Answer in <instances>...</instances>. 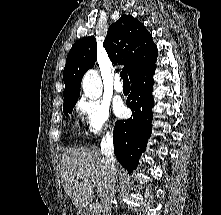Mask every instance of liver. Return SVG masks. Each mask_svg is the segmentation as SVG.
<instances>
[{
	"mask_svg": "<svg viewBox=\"0 0 221 215\" xmlns=\"http://www.w3.org/2000/svg\"><path fill=\"white\" fill-rule=\"evenodd\" d=\"M60 175L65 193L80 211L92 197L94 186L103 197L109 169L97 147L72 148L62 156Z\"/></svg>",
	"mask_w": 221,
	"mask_h": 215,
	"instance_id": "6515ba94",
	"label": "liver"
}]
</instances>
